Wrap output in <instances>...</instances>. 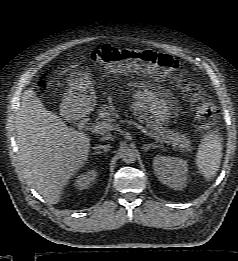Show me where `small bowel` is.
<instances>
[{"instance_id": "small-bowel-1", "label": "small bowel", "mask_w": 238, "mask_h": 261, "mask_svg": "<svg viewBox=\"0 0 238 261\" xmlns=\"http://www.w3.org/2000/svg\"><path fill=\"white\" fill-rule=\"evenodd\" d=\"M133 108L136 111L149 109L159 120L166 121L172 113V101L165 92L142 85L133 93Z\"/></svg>"}]
</instances>
